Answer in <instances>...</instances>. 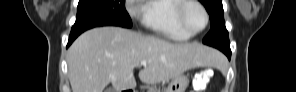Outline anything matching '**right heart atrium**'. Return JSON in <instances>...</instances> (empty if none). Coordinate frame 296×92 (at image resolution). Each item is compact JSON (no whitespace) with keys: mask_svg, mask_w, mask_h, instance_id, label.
Returning <instances> with one entry per match:
<instances>
[{"mask_svg":"<svg viewBox=\"0 0 296 92\" xmlns=\"http://www.w3.org/2000/svg\"><path fill=\"white\" fill-rule=\"evenodd\" d=\"M128 12L132 17L138 18L142 12L140 4L136 1H128Z\"/></svg>","mask_w":296,"mask_h":92,"instance_id":"1","label":"right heart atrium"}]
</instances>
